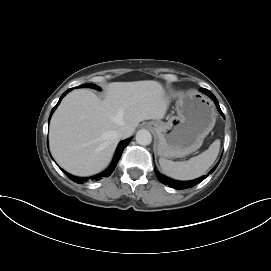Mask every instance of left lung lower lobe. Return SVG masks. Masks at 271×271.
Masks as SVG:
<instances>
[{
  "label": "left lung lower lobe",
  "mask_w": 271,
  "mask_h": 271,
  "mask_svg": "<svg viewBox=\"0 0 271 271\" xmlns=\"http://www.w3.org/2000/svg\"><path fill=\"white\" fill-rule=\"evenodd\" d=\"M200 90H201L202 92H204L205 94H207L209 97H211V98L214 100V102H215V104H216L218 110H219V111L221 112V114L223 115V113H222V111H221V109H220L218 100H217L216 97L213 95V93L210 92V91L207 90V89H200ZM223 116H224V115H223ZM217 165H218V164H217ZM217 165L209 172V174L212 173V172L216 169ZM156 174H157L158 180H159L161 183L166 184V185H169V186H171L172 188H175V189H186V188H191V187L195 186L196 184H198L199 182H201L202 180H204V179L207 177V175H204V176H202V177H200V178H197V179H195V180H192V181H176V180L167 178V177H165V176H163V175H160L158 172H156Z\"/></svg>",
  "instance_id": "0a47b994"
}]
</instances>
